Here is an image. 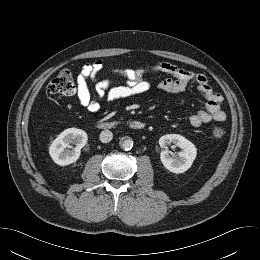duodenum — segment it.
Listing matches in <instances>:
<instances>
[{
    "instance_id": "410a0bca",
    "label": "duodenum",
    "mask_w": 260,
    "mask_h": 260,
    "mask_svg": "<svg viewBox=\"0 0 260 260\" xmlns=\"http://www.w3.org/2000/svg\"><path fill=\"white\" fill-rule=\"evenodd\" d=\"M128 127L134 130H143L145 128V123L142 121H133L127 124ZM119 126L117 122L114 121H102L97 123V127L102 130L115 129Z\"/></svg>"
}]
</instances>
